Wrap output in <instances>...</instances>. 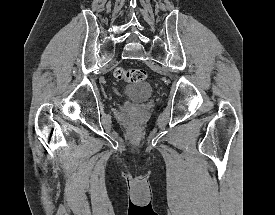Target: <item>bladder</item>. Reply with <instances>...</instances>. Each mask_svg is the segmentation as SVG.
<instances>
[{"label":"bladder","mask_w":275,"mask_h":215,"mask_svg":"<svg viewBox=\"0 0 275 215\" xmlns=\"http://www.w3.org/2000/svg\"><path fill=\"white\" fill-rule=\"evenodd\" d=\"M152 93V86L141 82L131 83L124 88V94L133 99L147 100Z\"/></svg>","instance_id":"1"}]
</instances>
